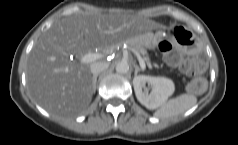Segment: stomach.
<instances>
[{
  "label": "stomach",
  "instance_id": "obj_1",
  "mask_svg": "<svg viewBox=\"0 0 238 145\" xmlns=\"http://www.w3.org/2000/svg\"><path fill=\"white\" fill-rule=\"evenodd\" d=\"M166 33L170 40L186 51L196 52L201 48L199 35L181 22L170 23Z\"/></svg>",
  "mask_w": 238,
  "mask_h": 145
}]
</instances>
